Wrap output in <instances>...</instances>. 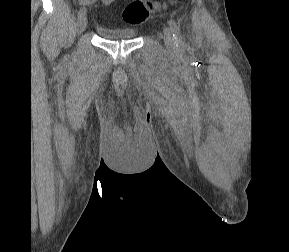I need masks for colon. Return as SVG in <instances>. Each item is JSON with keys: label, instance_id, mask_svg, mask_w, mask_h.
I'll use <instances>...</instances> for the list:
<instances>
[{"label": "colon", "instance_id": "obj_1", "mask_svg": "<svg viewBox=\"0 0 289 252\" xmlns=\"http://www.w3.org/2000/svg\"><path fill=\"white\" fill-rule=\"evenodd\" d=\"M171 5H176L178 0H169ZM161 5L154 0H132L123 11V20L132 25L146 22L154 13L158 12Z\"/></svg>", "mask_w": 289, "mask_h": 252}]
</instances>
